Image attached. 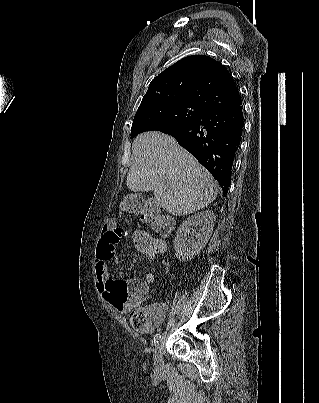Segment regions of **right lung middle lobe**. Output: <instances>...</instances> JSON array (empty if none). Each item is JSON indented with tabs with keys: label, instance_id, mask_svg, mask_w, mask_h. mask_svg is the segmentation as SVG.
<instances>
[{
	"label": "right lung middle lobe",
	"instance_id": "obj_1",
	"mask_svg": "<svg viewBox=\"0 0 319 403\" xmlns=\"http://www.w3.org/2000/svg\"><path fill=\"white\" fill-rule=\"evenodd\" d=\"M209 111L190 103H161L138 111L133 120L131 138L139 133L166 127L191 124L203 118Z\"/></svg>",
	"mask_w": 319,
	"mask_h": 403
}]
</instances>
